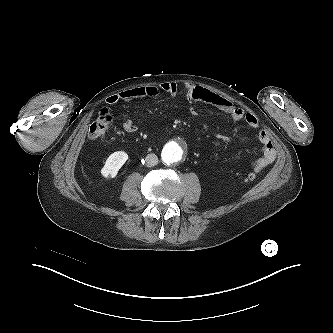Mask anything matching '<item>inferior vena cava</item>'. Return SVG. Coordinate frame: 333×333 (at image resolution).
I'll use <instances>...</instances> for the list:
<instances>
[{
  "label": "inferior vena cava",
  "mask_w": 333,
  "mask_h": 333,
  "mask_svg": "<svg viewBox=\"0 0 333 333\" xmlns=\"http://www.w3.org/2000/svg\"><path fill=\"white\" fill-rule=\"evenodd\" d=\"M158 164V157L155 154H148L146 156V165L147 167H152Z\"/></svg>",
  "instance_id": "inferior-vena-cava-1"
}]
</instances>
